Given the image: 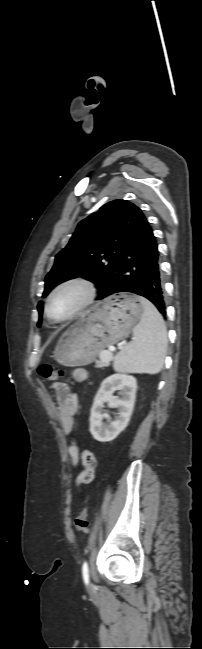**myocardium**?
I'll return each instance as SVG.
<instances>
[{
    "instance_id": "myocardium-1",
    "label": "myocardium",
    "mask_w": 202,
    "mask_h": 649,
    "mask_svg": "<svg viewBox=\"0 0 202 649\" xmlns=\"http://www.w3.org/2000/svg\"><path fill=\"white\" fill-rule=\"evenodd\" d=\"M70 286L81 287L84 291V298L80 302V304L68 316L64 318H55L50 312V308H49L50 302L59 291ZM96 294H97V289L94 282L91 279L81 275L66 278L61 282H59L57 285H55L47 295L45 299L46 316L51 322L54 323H63V322L71 321L75 319L77 316H79L81 313H83V311L86 310L94 302L96 298Z\"/></svg>"
}]
</instances>
